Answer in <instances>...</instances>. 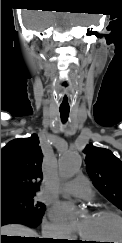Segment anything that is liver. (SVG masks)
<instances>
[{
    "label": "liver",
    "mask_w": 122,
    "mask_h": 243,
    "mask_svg": "<svg viewBox=\"0 0 122 243\" xmlns=\"http://www.w3.org/2000/svg\"><path fill=\"white\" fill-rule=\"evenodd\" d=\"M1 235L38 238L37 237L38 234L34 230L20 224H9V225L2 226ZM35 238H28V239H35Z\"/></svg>",
    "instance_id": "obj_1"
}]
</instances>
